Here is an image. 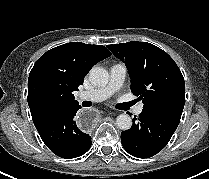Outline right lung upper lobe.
<instances>
[{
  "mask_svg": "<svg viewBox=\"0 0 209 179\" xmlns=\"http://www.w3.org/2000/svg\"><path fill=\"white\" fill-rule=\"evenodd\" d=\"M111 56L102 45L71 42L42 55L28 79V104L37 130L62 111L78 106L73 92L99 61Z\"/></svg>",
  "mask_w": 209,
  "mask_h": 179,
  "instance_id": "obj_1",
  "label": "right lung upper lobe"
}]
</instances>
